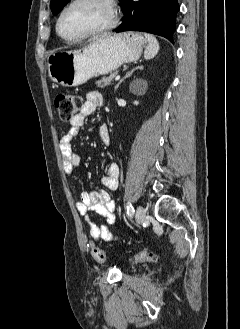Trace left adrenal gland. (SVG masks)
Segmentation results:
<instances>
[{
	"label": "left adrenal gland",
	"mask_w": 240,
	"mask_h": 329,
	"mask_svg": "<svg viewBox=\"0 0 240 329\" xmlns=\"http://www.w3.org/2000/svg\"><path fill=\"white\" fill-rule=\"evenodd\" d=\"M137 69L142 70V69H143V65L138 66V67L132 69L131 71L127 72L126 75H125V77H123V78L119 81V83L115 86V89H117V88L119 87V85L122 83V81H124V79H126L127 77H130V76L132 75V73H133L135 70H137Z\"/></svg>",
	"instance_id": "1"
}]
</instances>
